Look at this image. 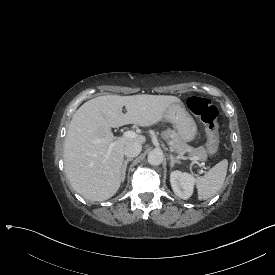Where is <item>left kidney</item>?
Listing matches in <instances>:
<instances>
[{"instance_id": "1", "label": "left kidney", "mask_w": 275, "mask_h": 275, "mask_svg": "<svg viewBox=\"0 0 275 275\" xmlns=\"http://www.w3.org/2000/svg\"><path fill=\"white\" fill-rule=\"evenodd\" d=\"M170 183L178 197L188 199L194 191L195 175L186 171L174 170L170 173Z\"/></svg>"}]
</instances>
